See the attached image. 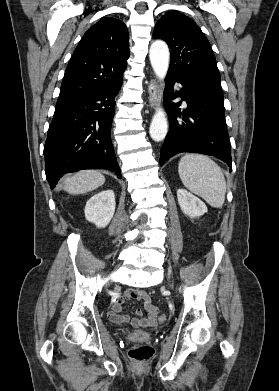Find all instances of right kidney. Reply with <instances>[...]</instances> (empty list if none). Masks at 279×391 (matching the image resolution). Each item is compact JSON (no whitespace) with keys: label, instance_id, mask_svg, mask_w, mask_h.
<instances>
[{"label":"right kidney","instance_id":"1","mask_svg":"<svg viewBox=\"0 0 279 391\" xmlns=\"http://www.w3.org/2000/svg\"><path fill=\"white\" fill-rule=\"evenodd\" d=\"M115 194L113 190H104L92 196L85 206V218L98 228L106 227L115 212Z\"/></svg>","mask_w":279,"mask_h":391}]
</instances>
